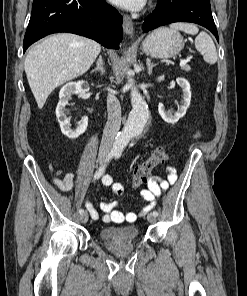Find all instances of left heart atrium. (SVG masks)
Here are the masks:
<instances>
[{"instance_id": "left-heart-atrium-1", "label": "left heart atrium", "mask_w": 247, "mask_h": 296, "mask_svg": "<svg viewBox=\"0 0 247 296\" xmlns=\"http://www.w3.org/2000/svg\"><path fill=\"white\" fill-rule=\"evenodd\" d=\"M114 5L128 10H139L141 9L146 0H109Z\"/></svg>"}]
</instances>
